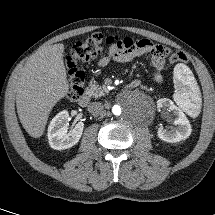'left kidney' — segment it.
I'll return each instance as SVG.
<instances>
[{"label":"left kidney","instance_id":"5707ae66","mask_svg":"<svg viewBox=\"0 0 215 215\" xmlns=\"http://www.w3.org/2000/svg\"><path fill=\"white\" fill-rule=\"evenodd\" d=\"M157 108L163 111H171L175 116L174 124L176 128L165 129L162 125L157 131L158 137L168 143H176L187 139L191 135V125L183 111L175 106V104L167 98H162L157 101Z\"/></svg>","mask_w":215,"mask_h":215}]
</instances>
